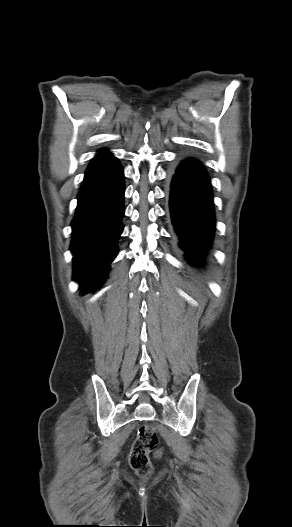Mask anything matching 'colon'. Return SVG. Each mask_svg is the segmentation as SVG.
<instances>
[{
	"mask_svg": "<svg viewBox=\"0 0 292 527\" xmlns=\"http://www.w3.org/2000/svg\"><path fill=\"white\" fill-rule=\"evenodd\" d=\"M158 437L152 425H142L130 452V465L140 475L148 476L152 471L149 453L156 448Z\"/></svg>",
	"mask_w": 292,
	"mask_h": 527,
	"instance_id": "1",
	"label": "colon"
}]
</instances>
